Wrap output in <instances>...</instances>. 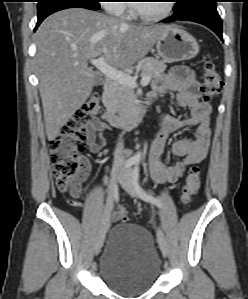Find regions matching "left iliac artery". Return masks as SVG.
<instances>
[{
    "label": "left iliac artery",
    "instance_id": "obj_1",
    "mask_svg": "<svg viewBox=\"0 0 248 299\" xmlns=\"http://www.w3.org/2000/svg\"><path fill=\"white\" fill-rule=\"evenodd\" d=\"M132 182H133V185H134V188L136 190V192L138 193V195L140 196L141 199H143L144 201L146 202H149V203H152L154 205H156L157 207H160L162 208V203L159 199L149 195L139 184V165L138 163L136 162L135 163V166L132 170ZM160 230H158L159 232ZM157 232V233H158Z\"/></svg>",
    "mask_w": 248,
    "mask_h": 299
}]
</instances>
